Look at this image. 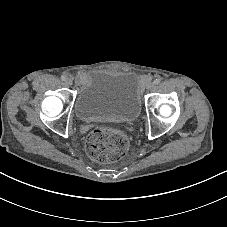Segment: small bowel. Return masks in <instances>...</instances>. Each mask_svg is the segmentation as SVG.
Returning <instances> with one entry per match:
<instances>
[{"label": "small bowel", "instance_id": "1", "mask_svg": "<svg viewBox=\"0 0 227 227\" xmlns=\"http://www.w3.org/2000/svg\"><path fill=\"white\" fill-rule=\"evenodd\" d=\"M86 73L85 72H81V73H79V75H78V77H79V79L80 80H84L85 78H86Z\"/></svg>", "mask_w": 227, "mask_h": 227}]
</instances>
